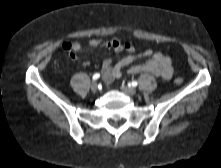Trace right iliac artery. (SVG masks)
Instances as JSON below:
<instances>
[{
  "label": "right iliac artery",
  "instance_id": "1",
  "mask_svg": "<svg viewBox=\"0 0 221 168\" xmlns=\"http://www.w3.org/2000/svg\"><path fill=\"white\" fill-rule=\"evenodd\" d=\"M99 77H100V74L96 73V74L93 75L92 79L97 80Z\"/></svg>",
  "mask_w": 221,
  "mask_h": 168
}]
</instances>
